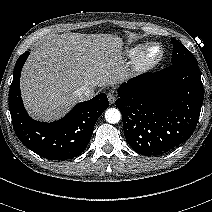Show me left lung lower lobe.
Wrapping results in <instances>:
<instances>
[{"mask_svg":"<svg viewBox=\"0 0 212 212\" xmlns=\"http://www.w3.org/2000/svg\"><path fill=\"white\" fill-rule=\"evenodd\" d=\"M117 92L124 135L137 153L161 155L194 132L203 103L198 63L173 64L140 75Z\"/></svg>","mask_w":212,"mask_h":212,"instance_id":"0a47b994","label":"left lung lower lobe"}]
</instances>
